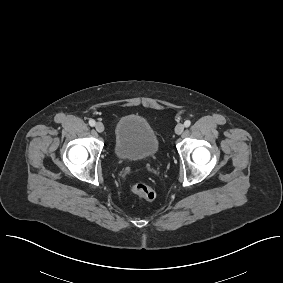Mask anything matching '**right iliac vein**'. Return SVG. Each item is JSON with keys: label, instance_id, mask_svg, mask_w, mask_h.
<instances>
[{"label": "right iliac vein", "instance_id": "right-iliac-vein-1", "mask_svg": "<svg viewBox=\"0 0 283 283\" xmlns=\"http://www.w3.org/2000/svg\"><path fill=\"white\" fill-rule=\"evenodd\" d=\"M95 129L99 133H102L104 131V125L101 122H97L96 125H95Z\"/></svg>", "mask_w": 283, "mask_h": 283}]
</instances>
